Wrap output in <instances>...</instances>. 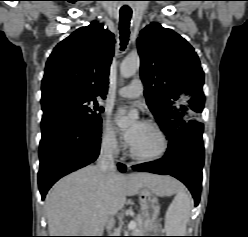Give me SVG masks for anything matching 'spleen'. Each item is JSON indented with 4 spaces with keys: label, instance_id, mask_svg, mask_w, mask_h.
I'll return each mask as SVG.
<instances>
[{
    "label": "spleen",
    "instance_id": "1",
    "mask_svg": "<svg viewBox=\"0 0 248 237\" xmlns=\"http://www.w3.org/2000/svg\"><path fill=\"white\" fill-rule=\"evenodd\" d=\"M192 201L182 187L176 188V196L167 209L165 231L167 236H185Z\"/></svg>",
    "mask_w": 248,
    "mask_h": 237
}]
</instances>
